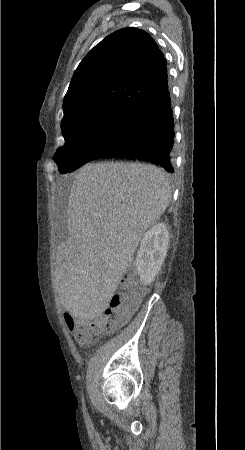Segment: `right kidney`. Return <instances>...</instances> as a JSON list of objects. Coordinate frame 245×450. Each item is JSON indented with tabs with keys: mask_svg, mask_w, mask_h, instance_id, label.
Segmentation results:
<instances>
[{
	"mask_svg": "<svg viewBox=\"0 0 245 450\" xmlns=\"http://www.w3.org/2000/svg\"><path fill=\"white\" fill-rule=\"evenodd\" d=\"M169 245V233L164 223L155 224L145 233L137 252L136 268L144 285L153 282L165 260Z\"/></svg>",
	"mask_w": 245,
	"mask_h": 450,
	"instance_id": "ca27d5eb",
	"label": "right kidney"
}]
</instances>
